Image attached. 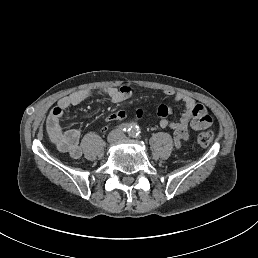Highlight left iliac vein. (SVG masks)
I'll list each match as a JSON object with an SVG mask.
<instances>
[{
	"label": "left iliac vein",
	"instance_id": "1",
	"mask_svg": "<svg viewBox=\"0 0 258 258\" xmlns=\"http://www.w3.org/2000/svg\"><path fill=\"white\" fill-rule=\"evenodd\" d=\"M117 132H118V134H119V136H118L119 139L123 140V139L126 138L125 134H123V132H124L123 129L120 128V129H118Z\"/></svg>",
	"mask_w": 258,
	"mask_h": 258
}]
</instances>
